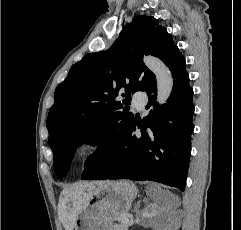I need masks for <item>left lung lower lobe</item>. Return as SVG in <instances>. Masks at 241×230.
<instances>
[{"mask_svg":"<svg viewBox=\"0 0 241 230\" xmlns=\"http://www.w3.org/2000/svg\"><path fill=\"white\" fill-rule=\"evenodd\" d=\"M173 89L167 104L156 102V82L147 88L153 109L143 119L110 142L101 143L85 162L81 179H131L155 181L184 191L191 151L193 89L185 59L180 53L169 66ZM148 108V107H147ZM136 126L141 136L133 132Z\"/></svg>","mask_w":241,"mask_h":230,"instance_id":"1","label":"left lung lower lobe"}]
</instances>
